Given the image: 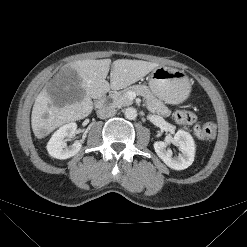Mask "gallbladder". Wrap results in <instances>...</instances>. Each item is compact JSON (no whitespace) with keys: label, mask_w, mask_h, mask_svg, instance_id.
I'll return each instance as SVG.
<instances>
[{"label":"gallbladder","mask_w":247,"mask_h":247,"mask_svg":"<svg viewBox=\"0 0 247 247\" xmlns=\"http://www.w3.org/2000/svg\"><path fill=\"white\" fill-rule=\"evenodd\" d=\"M79 77L73 70H61L46 86L48 95L57 105L71 103L77 93H82L78 88Z\"/></svg>","instance_id":"bac80fb5"}]
</instances>
